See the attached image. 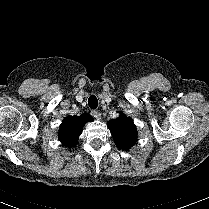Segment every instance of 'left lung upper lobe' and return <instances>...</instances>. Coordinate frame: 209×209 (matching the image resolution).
Listing matches in <instances>:
<instances>
[{
    "label": "left lung upper lobe",
    "instance_id": "left-lung-upper-lobe-1",
    "mask_svg": "<svg viewBox=\"0 0 209 209\" xmlns=\"http://www.w3.org/2000/svg\"><path fill=\"white\" fill-rule=\"evenodd\" d=\"M118 148L130 149L137 141V131L132 118L121 114L107 124Z\"/></svg>",
    "mask_w": 209,
    "mask_h": 209
}]
</instances>
